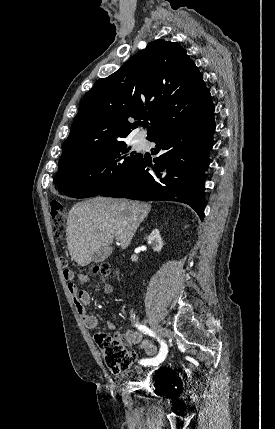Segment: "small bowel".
I'll list each match as a JSON object with an SVG mask.
<instances>
[{"label":"small bowel","instance_id":"small-bowel-1","mask_svg":"<svg viewBox=\"0 0 275 429\" xmlns=\"http://www.w3.org/2000/svg\"><path fill=\"white\" fill-rule=\"evenodd\" d=\"M63 275H64L65 281L67 282L68 291L73 298V303L75 305L76 311L81 317L83 323L88 329H95L98 325V320L94 315L89 314L86 309L91 301L90 294L86 290L78 289L77 285L74 282V273L70 269H64ZM78 278L81 283H87L89 280L88 276L85 274H80ZM104 290L105 292H110L112 290V287L110 285H107L105 286ZM107 327L110 330H114L116 328V324L114 321H108ZM115 336L121 338L125 344L138 345L151 357L147 359L154 358L153 356L156 354V351H157L155 345L149 340H144L139 332H136V331L117 332ZM132 355L133 357L135 356L134 353H132ZM148 366H151V365H148Z\"/></svg>","mask_w":275,"mask_h":429}]
</instances>
